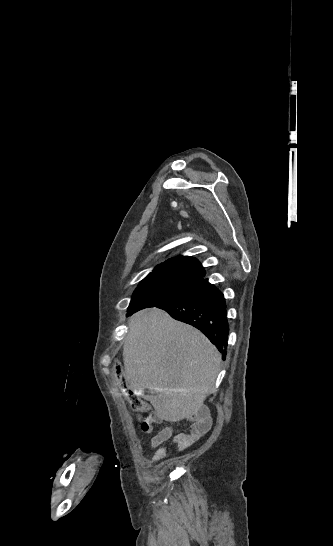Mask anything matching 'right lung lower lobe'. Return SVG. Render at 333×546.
Instances as JSON below:
<instances>
[{
    "label": "right lung lower lobe",
    "mask_w": 333,
    "mask_h": 546,
    "mask_svg": "<svg viewBox=\"0 0 333 546\" xmlns=\"http://www.w3.org/2000/svg\"><path fill=\"white\" fill-rule=\"evenodd\" d=\"M156 307L201 330L225 359L229 334L225 299L221 291L208 283L207 279L193 292L160 303ZM136 311H128V315Z\"/></svg>",
    "instance_id": "98d812e1"
}]
</instances>
